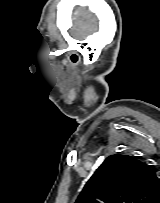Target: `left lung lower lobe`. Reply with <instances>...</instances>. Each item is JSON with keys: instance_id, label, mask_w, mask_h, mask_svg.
Here are the masks:
<instances>
[{"instance_id": "1", "label": "left lung lower lobe", "mask_w": 160, "mask_h": 203, "mask_svg": "<svg viewBox=\"0 0 160 203\" xmlns=\"http://www.w3.org/2000/svg\"><path fill=\"white\" fill-rule=\"evenodd\" d=\"M154 203H160V195H159L158 198L154 201Z\"/></svg>"}]
</instances>
